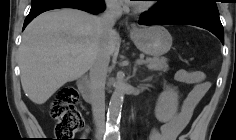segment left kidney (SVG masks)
<instances>
[{
    "label": "left kidney",
    "mask_w": 236,
    "mask_h": 140,
    "mask_svg": "<svg viewBox=\"0 0 236 140\" xmlns=\"http://www.w3.org/2000/svg\"><path fill=\"white\" fill-rule=\"evenodd\" d=\"M178 110V93L171 87H166L156 102L155 116L160 122H169Z\"/></svg>",
    "instance_id": "obj_1"
}]
</instances>
